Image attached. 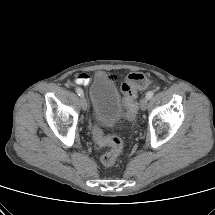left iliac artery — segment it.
<instances>
[{"instance_id": "44dca946", "label": "left iliac artery", "mask_w": 215, "mask_h": 215, "mask_svg": "<svg viewBox=\"0 0 215 215\" xmlns=\"http://www.w3.org/2000/svg\"><path fill=\"white\" fill-rule=\"evenodd\" d=\"M153 95H154L153 91H149V92H147L146 97L148 99H151L153 97Z\"/></svg>"}]
</instances>
